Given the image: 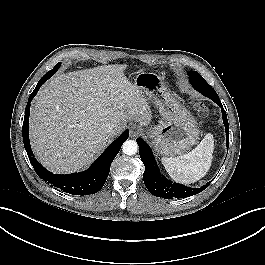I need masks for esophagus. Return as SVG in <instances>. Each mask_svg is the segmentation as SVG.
Listing matches in <instances>:
<instances>
[{
  "mask_svg": "<svg viewBox=\"0 0 265 265\" xmlns=\"http://www.w3.org/2000/svg\"><path fill=\"white\" fill-rule=\"evenodd\" d=\"M140 131L141 130L136 125H134L130 129V136L131 137H136V136H138L140 134Z\"/></svg>",
  "mask_w": 265,
  "mask_h": 265,
  "instance_id": "esophagus-1",
  "label": "esophagus"
}]
</instances>
